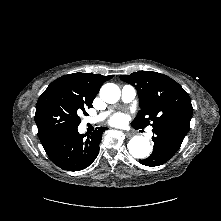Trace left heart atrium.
I'll return each instance as SVG.
<instances>
[{
    "instance_id": "39dd6f15",
    "label": "left heart atrium",
    "mask_w": 221,
    "mask_h": 221,
    "mask_svg": "<svg viewBox=\"0 0 221 221\" xmlns=\"http://www.w3.org/2000/svg\"><path fill=\"white\" fill-rule=\"evenodd\" d=\"M125 122V117L123 114H116L110 119V124L114 126H120Z\"/></svg>"
}]
</instances>
